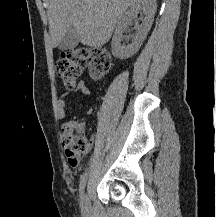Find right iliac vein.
<instances>
[{
    "label": "right iliac vein",
    "mask_w": 216,
    "mask_h": 217,
    "mask_svg": "<svg viewBox=\"0 0 216 217\" xmlns=\"http://www.w3.org/2000/svg\"><path fill=\"white\" fill-rule=\"evenodd\" d=\"M80 208H81L82 212H84V213L89 212V201H88V197H87V195L85 193L81 194Z\"/></svg>",
    "instance_id": "63e3f726"
}]
</instances>
